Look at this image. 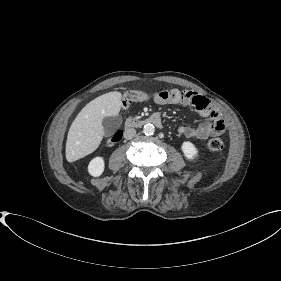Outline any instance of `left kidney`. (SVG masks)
I'll return each mask as SVG.
<instances>
[{"label": "left kidney", "instance_id": "left-kidney-1", "mask_svg": "<svg viewBox=\"0 0 281 281\" xmlns=\"http://www.w3.org/2000/svg\"><path fill=\"white\" fill-rule=\"evenodd\" d=\"M181 149L188 160H194L198 156V149L190 141H184L181 145Z\"/></svg>", "mask_w": 281, "mask_h": 281}]
</instances>
